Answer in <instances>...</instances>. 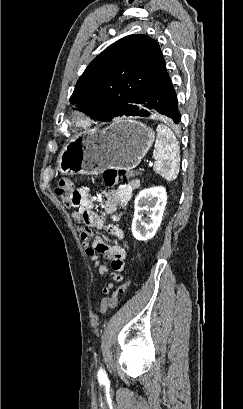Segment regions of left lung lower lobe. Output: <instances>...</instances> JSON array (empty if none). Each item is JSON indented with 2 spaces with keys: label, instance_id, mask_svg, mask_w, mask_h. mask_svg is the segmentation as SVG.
Masks as SVG:
<instances>
[{
  "label": "left lung lower lobe",
  "instance_id": "1",
  "mask_svg": "<svg viewBox=\"0 0 243 409\" xmlns=\"http://www.w3.org/2000/svg\"><path fill=\"white\" fill-rule=\"evenodd\" d=\"M156 112L171 118L176 124L180 122L176 93L169 74L147 90L135 101V104L126 106L123 111L120 110L117 114L105 115L100 120L108 122L113 117L122 115L149 117ZM120 113L121 115H119Z\"/></svg>",
  "mask_w": 243,
  "mask_h": 409
}]
</instances>
